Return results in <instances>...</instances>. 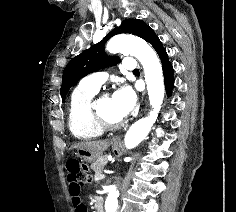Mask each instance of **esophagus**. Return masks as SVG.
I'll list each match as a JSON object with an SVG mask.
<instances>
[{
    "label": "esophagus",
    "instance_id": "1",
    "mask_svg": "<svg viewBox=\"0 0 236 212\" xmlns=\"http://www.w3.org/2000/svg\"><path fill=\"white\" fill-rule=\"evenodd\" d=\"M118 141H120V137L116 136L113 138V142H118Z\"/></svg>",
    "mask_w": 236,
    "mask_h": 212
}]
</instances>
